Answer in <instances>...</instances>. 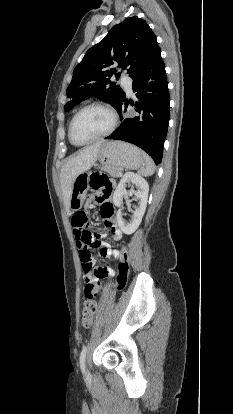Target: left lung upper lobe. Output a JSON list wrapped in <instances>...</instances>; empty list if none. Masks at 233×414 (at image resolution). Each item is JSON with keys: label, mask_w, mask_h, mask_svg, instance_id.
<instances>
[{"label": "left lung upper lobe", "mask_w": 233, "mask_h": 414, "mask_svg": "<svg viewBox=\"0 0 233 414\" xmlns=\"http://www.w3.org/2000/svg\"><path fill=\"white\" fill-rule=\"evenodd\" d=\"M159 50L156 36L146 21L137 16L126 18L90 48L75 67L67 88L70 100L64 110H70L92 94L117 109L125 93L110 80L113 75L120 76V73L116 74L115 65L118 64L133 77L148 65Z\"/></svg>", "instance_id": "obj_1"}]
</instances>
